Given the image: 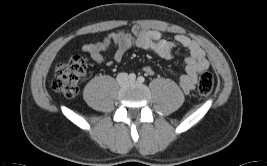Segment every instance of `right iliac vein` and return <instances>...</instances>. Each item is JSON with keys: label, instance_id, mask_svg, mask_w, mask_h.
I'll list each match as a JSON object with an SVG mask.
<instances>
[{"label": "right iliac vein", "instance_id": "1", "mask_svg": "<svg viewBox=\"0 0 267 166\" xmlns=\"http://www.w3.org/2000/svg\"><path fill=\"white\" fill-rule=\"evenodd\" d=\"M126 82V79H121V84H124Z\"/></svg>", "mask_w": 267, "mask_h": 166}]
</instances>
